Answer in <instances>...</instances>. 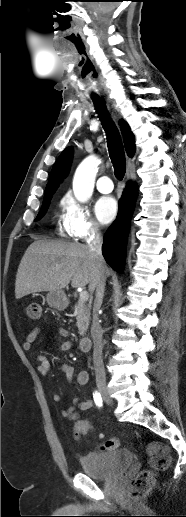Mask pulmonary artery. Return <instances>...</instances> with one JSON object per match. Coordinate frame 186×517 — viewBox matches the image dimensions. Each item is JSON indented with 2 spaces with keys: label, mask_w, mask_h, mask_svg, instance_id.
<instances>
[{
  "label": "pulmonary artery",
  "mask_w": 186,
  "mask_h": 517,
  "mask_svg": "<svg viewBox=\"0 0 186 517\" xmlns=\"http://www.w3.org/2000/svg\"><path fill=\"white\" fill-rule=\"evenodd\" d=\"M96 187L101 193H110L113 190V183L108 176H101L97 180Z\"/></svg>",
  "instance_id": "pulmonary-artery-1"
}]
</instances>
